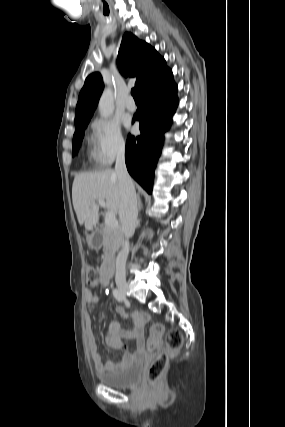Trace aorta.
<instances>
[{
  "instance_id": "762f6f07",
  "label": "aorta",
  "mask_w": 285,
  "mask_h": 427,
  "mask_svg": "<svg viewBox=\"0 0 285 427\" xmlns=\"http://www.w3.org/2000/svg\"><path fill=\"white\" fill-rule=\"evenodd\" d=\"M101 117L108 118L114 111V96L111 88H106L99 100L98 104Z\"/></svg>"
}]
</instances>
